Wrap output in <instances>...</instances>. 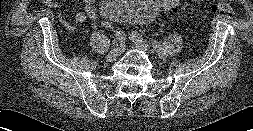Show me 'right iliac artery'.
<instances>
[{"label": "right iliac artery", "instance_id": "82829eb1", "mask_svg": "<svg viewBox=\"0 0 253 131\" xmlns=\"http://www.w3.org/2000/svg\"><path fill=\"white\" fill-rule=\"evenodd\" d=\"M115 36L119 42L125 43V34L123 32L118 31Z\"/></svg>", "mask_w": 253, "mask_h": 131}]
</instances>
